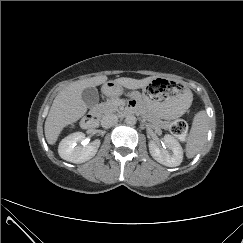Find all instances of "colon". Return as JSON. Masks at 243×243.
<instances>
[{
  "label": "colon",
  "instance_id": "colon-1",
  "mask_svg": "<svg viewBox=\"0 0 243 243\" xmlns=\"http://www.w3.org/2000/svg\"><path fill=\"white\" fill-rule=\"evenodd\" d=\"M170 130L175 136L185 139L188 135L189 128L185 120L177 119L172 122Z\"/></svg>",
  "mask_w": 243,
  "mask_h": 243
}]
</instances>
